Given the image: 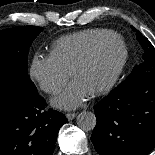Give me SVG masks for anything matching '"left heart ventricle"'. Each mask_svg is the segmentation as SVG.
I'll return each mask as SVG.
<instances>
[{"instance_id": "obj_1", "label": "left heart ventricle", "mask_w": 155, "mask_h": 155, "mask_svg": "<svg viewBox=\"0 0 155 155\" xmlns=\"http://www.w3.org/2000/svg\"><path fill=\"white\" fill-rule=\"evenodd\" d=\"M124 54L122 43L115 40L106 44L94 61L76 78L90 93L104 86L114 75Z\"/></svg>"}]
</instances>
